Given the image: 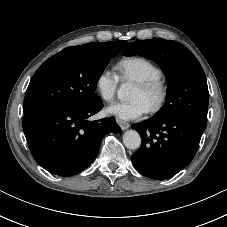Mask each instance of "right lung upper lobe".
I'll list each match as a JSON object with an SVG mask.
<instances>
[{"label": "right lung upper lobe", "instance_id": "1", "mask_svg": "<svg viewBox=\"0 0 227 227\" xmlns=\"http://www.w3.org/2000/svg\"><path fill=\"white\" fill-rule=\"evenodd\" d=\"M122 42V49L127 45V41H121ZM99 42H95V43H89V44H84V45H81L82 47H85V48H91V47H95L96 45H98Z\"/></svg>", "mask_w": 227, "mask_h": 227}]
</instances>
